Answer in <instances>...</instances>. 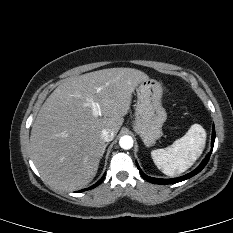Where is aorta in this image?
Listing matches in <instances>:
<instances>
[{"label":"aorta","instance_id":"762f6f07","mask_svg":"<svg viewBox=\"0 0 233 233\" xmlns=\"http://www.w3.org/2000/svg\"><path fill=\"white\" fill-rule=\"evenodd\" d=\"M133 143V138L128 135L122 136L119 140L120 147L125 150L131 149L133 147Z\"/></svg>","mask_w":233,"mask_h":233}]
</instances>
